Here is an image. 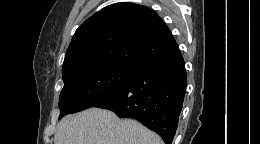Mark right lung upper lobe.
Instances as JSON below:
<instances>
[{"instance_id":"cb5924a9","label":"right lung upper lobe","mask_w":260,"mask_h":144,"mask_svg":"<svg viewBox=\"0 0 260 144\" xmlns=\"http://www.w3.org/2000/svg\"><path fill=\"white\" fill-rule=\"evenodd\" d=\"M176 49L169 28L153 10L116 3L91 16L76 30L62 74L102 64L135 69Z\"/></svg>"}]
</instances>
